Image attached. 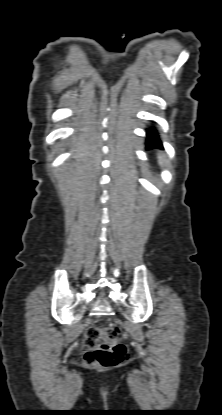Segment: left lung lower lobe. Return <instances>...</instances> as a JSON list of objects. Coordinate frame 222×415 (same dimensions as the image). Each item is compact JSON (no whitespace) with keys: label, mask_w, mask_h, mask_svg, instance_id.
<instances>
[{"label":"left lung lower lobe","mask_w":222,"mask_h":415,"mask_svg":"<svg viewBox=\"0 0 222 415\" xmlns=\"http://www.w3.org/2000/svg\"><path fill=\"white\" fill-rule=\"evenodd\" d=\"M147 148H162V142L159 139L158 133L154 129H147V138H146Z\"/></svg>","instance_id":"1"}]
</instances>
